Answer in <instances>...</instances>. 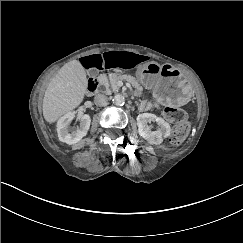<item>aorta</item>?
I'll list each match as a JSON object with an SVG mask.
<instances>
[{"instance_id": "762f6f07", "label": "aorta", "mask_w": 243, "mask_h": 243, "mask_svg": "<svg viewBox=\"0 0 243 243\" xmlns=\"http://www.w3.org/2000/svg\"><path fill=\"white\" fill-rule=\"evenodd\" d=\"M113 103L117 106H122L124 103H125V98L123 95L121 94H116L114 97H113Z\"/></svg>"}]
</instances>
